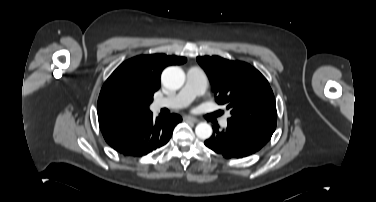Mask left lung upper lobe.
Listing matches in <instances>:
<instances>
[{"label": "left lung upper lobe", "mask_w": 376, "mask_h": 202, "mask_svg": "<svg viewBox=\"0 0 376 202\" xmlns=\"http://www.w3.org/2000/svg\"><path fill=\"white\" fill-rule=\"evenodd\" d=\"M206 71L216 102L230 111V120L275 131L277 111L268 81L254 67L219 56L197 57Z\"/></svg>", "instance_id": "5c2ea615"}]
</instances>
